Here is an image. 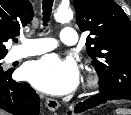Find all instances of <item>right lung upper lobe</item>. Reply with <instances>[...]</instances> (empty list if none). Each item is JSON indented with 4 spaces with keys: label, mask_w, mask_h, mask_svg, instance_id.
Segmentation results:
<instances>
[{
    "label": "right lung upper lobe",
    "mask_w": 131,
    "mask_h": 115,
    "mask_svg": "<svg viewBox=\"0 0 131 115\" xmlns=\"http://www.w3.org/2000/svg\"><path fill=\"white\" fill-rule=\"evenodd\" d=\"M33 18L29 0H0V57L7 54L4 43L19 35Z\"/></svg>",
    "instance_id": "right-lung-upper-lobe-1"
}]
</instances>
